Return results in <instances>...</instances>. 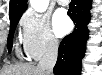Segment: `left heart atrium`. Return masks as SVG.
<instances>
[{
	"label": "left heart atrium",
	"instance_id": "left-heart-atrium-1",
	"mask_svg": "<svg viewBox=\"0 0 102 75\" xmlns=\"http://www.w3.org/2000/svg\"><path fill=\"white\" fill-rule=\"evenodd\" d=\"M72 28V21L63 9L58 10L53 17V31L58 37L67 34Z\"/></svg>",
	"mask_w": 102,
	"mask_h": 75
}]
</instances>
